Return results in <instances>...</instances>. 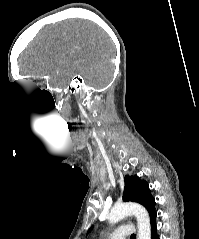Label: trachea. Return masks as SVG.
<instances>
[{"mask_svg": "<svg viewBox=\"0 0 199 239\" xmlns=\"http://www.w3.org/2000/svg\"><path fill=\"white\" fill-rule=\"evenodd\" d=\"M131 239H136V235H135V234H132V235H131Z\"/></svg>", "mask_w": 199, "mask_h": 239, "instance_id": "trachea-1", "label": "trachea"}]
</instances>
